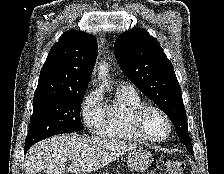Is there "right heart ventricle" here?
I'll list each match as a JSON object with an SVG mask.
<instances>
[{"label":"right heart ventricle","instance_id":"e07e8e85","mask_svg":"<svg viewBox=\"0 0 224 174\" xmlns=\"http://www.w3.org/2000/svg\"><path fill=\"white\" fill-rule=\"evenodd\" d=\"M142 104V99L135 90L119 88L114 100L103 106L98 134L109 140L144 142L145 140L135 132L132 125V115Z\"/></svg>","mask_w":224,"mask_h":174}]
</instances>
